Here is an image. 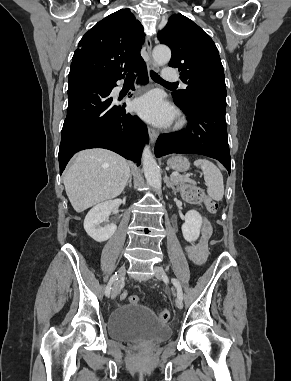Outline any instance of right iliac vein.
<instances>
[{"mask_svg": "<svg viewBox=\"0 0 291 381\" xmlns=\"http://www.w3.org/2000/svg\"><path fill=\"white\" fill-rule=\"evenodd\" d=\"M125 272H126L125 267L124 266L120 267L118 270V278L122 279L125 275ZM119 291H120V287H119V283L117 282L112 289L111 297L113 299L116 298V296L119 294Z\"/></svg>", "mask_w": 291, "mask_h": 381, "instance_id": "obj_1", "label": "right iliac vein"}]
</instances>
